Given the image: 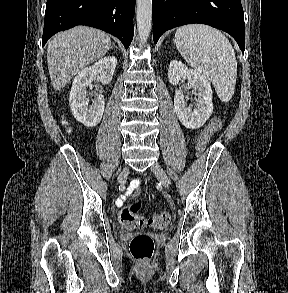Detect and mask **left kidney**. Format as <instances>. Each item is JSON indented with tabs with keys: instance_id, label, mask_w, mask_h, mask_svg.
<instances>
[{
	"instance_id": "1",
	"label": "left kidney",
	"mask_w": 288,
	"mask_h": 293,
	"mask_svg": "<svg viewBox=\"0 0 288 293\" xmlns=\"http://www.w3.org/2000/svg\"><path fill=\"white\" fill-rule=\"evenodd\" d=\"M169 82L177 85L183 78L188 79V83L197 92L198 103L194 110L186 106V97L180 89H176L174 97V109L180 122L189 129H198L204 125L213 112L212 89L209 81L199 72L188 69L180 61H171L168 69Z\"/></svg>"
}]
</instances>
